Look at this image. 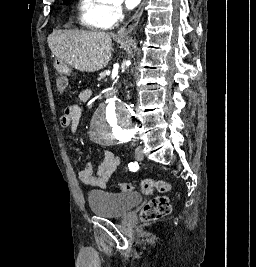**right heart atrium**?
Instances as JSON below:
<instances>
[{"label":"right heart atrium","instance_id":"1","mask_svg":"<svg viewBox=\"0 0 256 267\" xmlns=\"http://www.w3.org/2000/svg\"><path fill=\"white\" fill-rule=\"evenodd\" d=\"M122 7L119 4H113L110 8V15L113 19H121L122 18Z\"/></svg>","mask_w":256,"mask_h":267}]
</instances>
